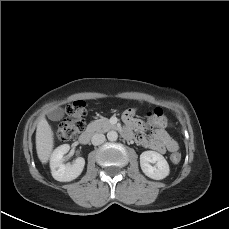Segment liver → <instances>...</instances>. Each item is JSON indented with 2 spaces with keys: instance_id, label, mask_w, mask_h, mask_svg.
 I'll use <instances>...</instances> for the list:
<instances>
[{
  "instance_id": "liver-1",
  "label": "liver",
  "mask_w": 229,
  "mask_h": 229,
  "mask_svg": "<svg viewBox=\"0 0 229 229\" xmlns=\"http://www.w3.org/2000/svg\"><path fill=\"white\" fill-rule=\"evenodd\" d=\"M54 147V137L51 126L45 117H41L36 129V150L39 160L46 164Z\"/></svg>"
}]
</instances>
